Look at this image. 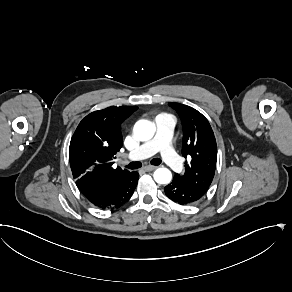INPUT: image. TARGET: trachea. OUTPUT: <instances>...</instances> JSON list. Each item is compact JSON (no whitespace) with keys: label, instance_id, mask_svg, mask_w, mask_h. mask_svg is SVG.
<instances>
[{"label":"trachea","instance_id":"3493384b","mask_svg":"<svg viewBox=\"0 0 292 292\" xmlns=\"http://www.w3.org/2000/svg\"><path fill=\"white\" fill-rule=\"evenodd\" d=\"M161 159H159V158H154V159H152L151 161H150V163L152 164V165H155V166H158V165H160L161 164ZM142 166V163L140 162V161H135V162H131V163H129L127 166H126V168H129V169H131V170H134V169H138V168H140Z\"/></svg>","mask_w":292,"mask_h":292}]
</instances>
